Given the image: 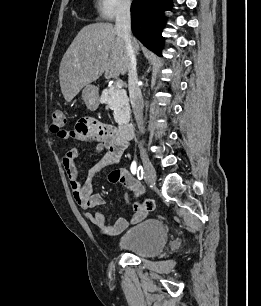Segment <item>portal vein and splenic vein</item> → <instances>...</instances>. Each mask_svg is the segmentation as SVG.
I'll list each match as a JSON object with an SVG mask.
<instances>
[{
    "mask_svg": "<svg viewBox=\"0 0 261 306\" xmlns=\"http://www.w3.org/2000/svg\"><path fill=\"white\" fill-rule=\"evenodd\" d=\"M115 86H116L117 88H122V86H123V81H122V80H117V81L115 82Z\"/></svg>",
    "mask_w": 261,
    "mask_h": 306,
    "instance_id": "portal-vein-and-splenic-vein-1",
    "label": "portal vein and splenic vein"
}]
</instances>
